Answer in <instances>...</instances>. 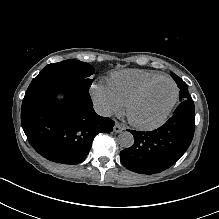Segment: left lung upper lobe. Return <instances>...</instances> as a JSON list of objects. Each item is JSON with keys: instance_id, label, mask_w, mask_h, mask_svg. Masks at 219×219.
I'll return each mask as SVG.
<instances>
[{"instance_id": "left-lung-upper-lobe-1", "label": "left lung upper lobe", "mask_w": 219, "mask_h": 219, "mask_svg": "<svg viewBox=\"0 0 219 219\" xmlns=\"http://www.w3.org/2000/svg\"><path fill=\"white\" fill-rule=\"evenodd\" d=\"M171 76L177 83L178 87L180 88V96H179L180 101L182 102L184 100L190 99L187 84L184 81H182L181 78H179L176 74L171 73Z\"/></svg>"}]
</instances>
